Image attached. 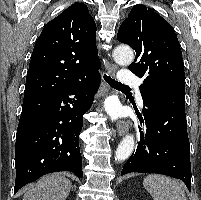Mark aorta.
Segmentation results:
<instances>
[{"label": "aorta", "mask_w": 201, "mask_h": 200, "mask_svg": "<svg viewBox=\"0 0 201 200\" xmlns=\"http://www.w3.org/2000/svg\"><path fill=\"white\" fill-rule=\"evenodd\" d=\"M116 63L122 66L130 65L134 60L133 50L124 45L117 46L113 53ZM134 136L131 134L126 135L120 142L115 152V160H126L134 150Z\"/></svg>", "instance_id": "1"}]
</instances>
